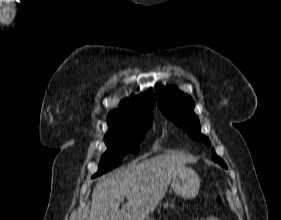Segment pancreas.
<instances>
[{"label":"pancreas","mask_w":281,"mask_h":220,"mask_svg":"<svg viewBox=\"0 0 281 220\" xmlns=\"http://www.w3.org/2000/svg\"><path fill=\"white\" fill-rule=\"evenodd\" d=\"M169 205H168V203H166L165 205H164V207H168ZM171 206H173V205H171Z\"/></svg>","instance_id":"pancreas-1"}]
</instances>
